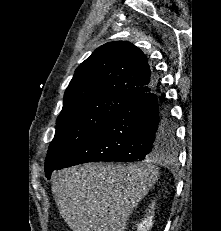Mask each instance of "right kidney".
<instances>
[{"label": "right kidney", "mask_w": 221, "mask_h": 231, "mask_svg": "<svg viewBox=\"0 0 221 231\" xmlns=\"http://www.w3.org/2000/svg\"><path fill=\"white\" fill-rule=\"evenodd\" d=\"M154 206L155 203L153 202L150 206L149 214L146 215V218L142 220L139 224H137V231H149L153 225V215H154Z\"/></svg>", "instance_id": "ca27d5eb"}]
</instances>
